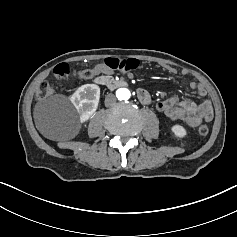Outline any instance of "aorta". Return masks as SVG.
<instances>
[{
	"label": "aorta",
	"instance_id": "aorta-1",
	"mask_svg": "<svg viewBox=\"0 0 237 237\" xmlns=\"http://www.w3.org/2000/svg\"><path fill=\"white\" fill-rule=\"evenodd\" d=\"M116 94L119 100H128L131 96L129 89L127 88H119Z\"/></svg>",
	"mask_w": 237,
	"mask_h": 237
}]
</instances>
